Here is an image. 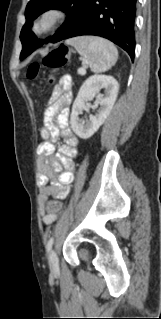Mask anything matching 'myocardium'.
Segmentation results:
<instances>
[{
    "mask_svg": "<svg viewBox=\"0 0 161 319\" xmlns=\"http://www.w3.org/2000/svg\"><path fill=\"white\" fill-rule=\"evenodd\" d=\"M64 17V11L60 8L52 7L41 12L34 20L32 33L36 37H41L49 33Z\"/></svg>",
    "mask_w": 161,
    "mask_h": 319,
    "instance_id": "myocardium-1",
    "label": "myocardium"
}]
</instances>
